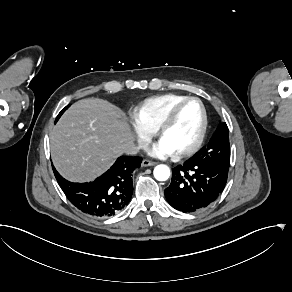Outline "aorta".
Listing matches in <instances>:
<instances>
[{"label":"aorta","mask_w":292,"mask_h":292,"mask_svg":"<svg viewBox=\"0 0 292 292\" xmlns=\"http://www.w3.org/2000/svg\"><path fill=\"white\" fill-rule=\"evenodd\" d=\"M154 177L158 181H166L170 176V169L168 166L160 164L154 168Z\"/></svg>","instance_id":"1"}]
</instances>
